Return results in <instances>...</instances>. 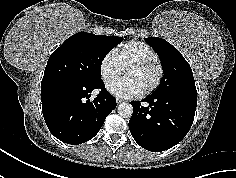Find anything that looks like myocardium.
I'll use <instances>...</instances> for the list:
<instances>
[{
    "instance_id": "f54148a6",
    "label": "myocardium",
    "mask_w": 236,
    "mask_h": 178,
    "mask_svg": "<svg viewBox=\"0 0 236 178\" xmlns=\"http://www.w3.org/2000/svg\"><path fill=\"white\" fill-rule=\"evenodd\" d=\"M150 67L156 68L157 74H156L154 82L141 92L142 95H149L160 86L164 77V73H165L163 64L159 60L133 61V62H130L124 68V72H125L126 70L131 69V68H150Z\"/></svg>"
}]
</instances>
